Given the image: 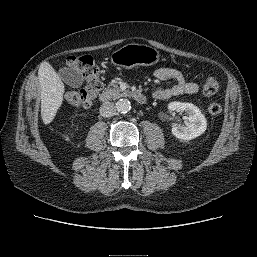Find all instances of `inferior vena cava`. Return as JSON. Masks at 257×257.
<instances>
[{
	"mask_svg": "<svg viewBox=\"0 0 257 257\" xmlns=\"http://www.w3.org/2000/svg\"><path fill=\"white\" fill-rule=\"evenodd\" d=\"M100 115L103 117H111L116 112V106L112 102H105L101 105L100 109Z\"/></svg>",
	"mask_w": 257,
	"mask_h": 257,
	"instance_id": "602c4592",
	"label": "inferior vena cava"
}]
</instances>
